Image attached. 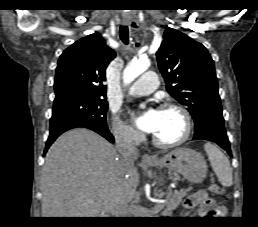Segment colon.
I'll use <instances>...</instances> for the list:
<instances>
[{"instance_id":"obj_1","label":"colon","mask_w":258,"mask_h":227,"mask_svg":"<svg viewBox=\"0 0 258 227\" xmlns=\"http://www.w3.org/2000/svg\"><path fill=\"white\" fill-rule=\"evenodd\" d=\"M210 189L212 192H214L215 194L217 195H221V196H224L225 199H227V196H226V190L224 187L218 185V184H212L210 186Z\"/></svg>"}]
</instances>
